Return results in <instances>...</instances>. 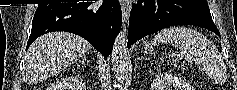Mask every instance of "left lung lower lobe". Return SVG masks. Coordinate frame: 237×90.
<instances>
[{
    "mask_svg": "<svg viewBox=\"0 0 237 90\" xmlns=\"http://www.w3.org/2000/svg\"><path fill=\"white\" fill-rule=\"evenodd\" d=\"M173 25H196L220 36L207 3L193 0H139L129 18L128 48L142 37Z\"/></svg>",
    "mask_w": 237,
    "mask_h": 90,
    "instance_id": "1",
    "label": "left lung lower lobe"
}]
</instances>
